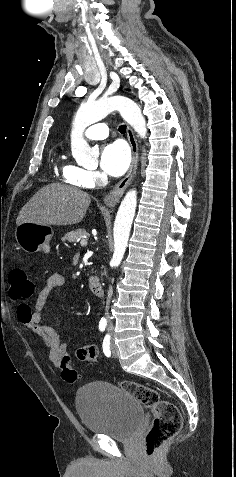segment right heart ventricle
Listing matches in <instances>:
<instances>
[{"instance_id":"obj_1","label":"right heart ventricle","mask_w":236,"mask_h":477,"mask_svg":"<svg viewBox=\"0 0 236 477\" xmlns=\"http://www.w3.org/2000/svg\"><path fill=\"white\" fill-rule=\"evenodd\" d=\"M66 169H73V170H76V171L82 170V168H80V167H75V166H66V167L64 168V170H66ZM70 184L75 185V186H78V185L73 184V183H70Z\"/></svg>"}]
</instances>
